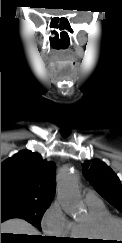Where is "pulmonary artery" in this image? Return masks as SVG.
Instances as JSON below:
<instances>
[{"instance_id": "e3ab8cb5", "label": "pulmonary artery", "mask_w": 122, "mask_h": 243, "mask_svg": "<svg viewBox=\"0 0 122 243\" xmlns=\"http://www.w3.org/2000/svg\"><path fill=\"white\" fill-rule=\"evenodd\" d=\"M84 199L86 202H94V201H100L98 195L96 194V192L92 191V190H87L85 192V196Z\"/></svg>"}]
</instances>
